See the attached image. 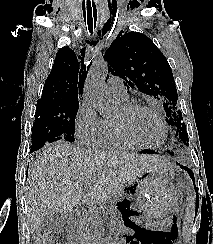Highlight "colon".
I'll return each mask as SVG.
<instances>
[{
	"label": "colon",
	"mask_w": 213,
	"mask_h": 244,
	"mask_svg": "<svg viewBox=\"0 0 213 244\" xmlns=\"http://www.w3.org/2000/svg\"><path fill=\"white\" fill-rule=\"evenodd\" d=\"M39 244H52V237H51V235L42 236L39 239Z\"/></svg>",
	"instance_id": "colon-1"
}]
</instances>
